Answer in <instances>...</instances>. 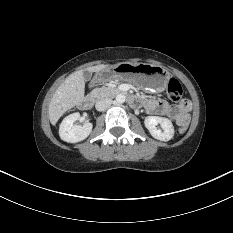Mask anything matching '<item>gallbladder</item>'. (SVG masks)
<instances>
[{
  "instance_id": "1",
  "label": "gallbladder",
  "mask_w": 233,
  "mask_h": 233,
  "mask_svg": "<svg viewBox=\"0 0 233 233\" xmlns=\"http://www.w3.org/2000/svg\"><path fill=\"white\" fill-rule=\"evenodd\" d=\"M83 77H84L85 81H90L91 77H92V73L87 71V70H84L83 71Z\"/></svg>"
}]
</instances>
